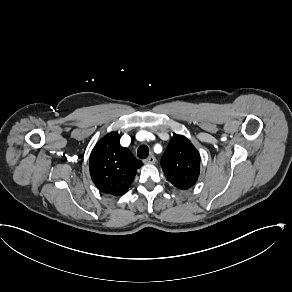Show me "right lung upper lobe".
Wrapping results in <instances>:
<instances>
[{
    "label": "right lung upper lobe",
    "mask_w": 292,
    "mask_h": 292,
    "mask_svg": "<svg viewBox=\"0 0 292 292\" xmlns=\"http://www.w3.org/2000/svg\"><path fill=\"white\" fill-rule=\"evenodd\" d=\"M143 163L120 145V135L110 132L93 148L89 170L96 187L103 193L121 196L130 187Z\"/></svg>",
    "instance_id": "cb5924a9"
}]
</instances>
